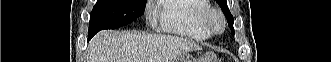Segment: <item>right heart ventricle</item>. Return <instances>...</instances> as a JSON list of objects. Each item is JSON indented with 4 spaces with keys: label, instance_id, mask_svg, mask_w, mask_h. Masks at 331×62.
Here are the masks:
<instances>
[{
    "label": "right heart ventricle",
    "instance_id": "right-heart-ventricle-1",
    "mask_svg": "<svg viewBox=\"0 0 331 62\" xmlns=\"http://www.w3.org/2000/svg\"><path fill=\"white\" fill-rule=\"evenodd\" d=\"M206 9L208 2L205 0H161L155 16L162 30L202 41L212 35L202 22Z\"/></svg>",
    "mask_w": 331,
    "mask_h": 62
}]
</instances>
